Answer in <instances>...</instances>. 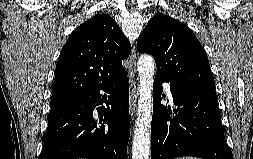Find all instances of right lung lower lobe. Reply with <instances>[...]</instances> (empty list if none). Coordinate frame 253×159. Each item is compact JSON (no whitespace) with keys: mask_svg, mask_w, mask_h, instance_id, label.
<instances>
[{"mask_svg":"<svg viewBox=\"0 0 253 159\" xmlns=\"http://www.w3.org/2000/svg\"><path fill=\"white\" fill-rule=\"evenodd\" d=\"M103 103L107 108L100 106ZM96 106L99 123L93 118ZM129 135V86L124 70L49 116L38 159H126Z\"/></svg>","mask_w":253,"mask_h":159,"instance_id":"right-lung-lower-lobe-1","label":"right lung lower lobe"}]
</instances>
